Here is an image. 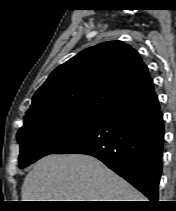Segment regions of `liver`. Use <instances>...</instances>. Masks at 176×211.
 <instances>
[{
  "mask_svg": "<svg viewBox=\"0 0 176 211\" xmlns=\"http://www.w3.org/2000/svg\"><path fill=\"white\" fill-rule=\"evenodd\" d=\"M22 201H145V197L98 159L51 154L26 175Z\"/></svg>",
  "mask_w": 176,
  "mask_h": 211,
  "instance_id": "6515ba94",
  "label": "liver"
}]
</instances>
